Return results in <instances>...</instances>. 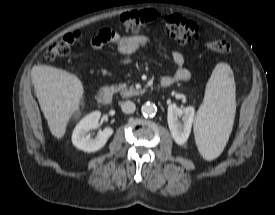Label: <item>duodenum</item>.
<instances>
[{
	"label": "duodenum",
	"instance_id": "410a0bca",
	"mask_svg": "<svg viewBox=\"0 0 275 215\" xmlns=\"http://www.w3.org/2000/svg\"><path fill=\"white\" fill-rule=\"evenodd\" d=\"M161 84L165 87L170 85L168 82H161ZM113 94H114V89L111 87L100 88L96 91L95 97L99 103L104 104V103H108L112 99Z\"/></svg>",
	"mask_w": 275,
	"mask_h": 215
}]
</instances>
